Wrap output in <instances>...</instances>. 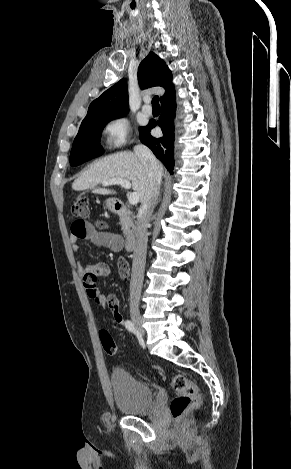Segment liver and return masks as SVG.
I'll use <instances>...</instances> for the list:
<instances>
[{
  "label": "liver",
  "instance_id": "obj_1",
  "mask_svg": "<svg viewBox=\"0 0 291 469\" xmlns=\"http://www.w3.org/2000/svg\"><path fill=\"white\" fill-rule=\"evenodd\" d=\"M159 164L161 176L163 166ZM111 179H126L139 194L140 202L149 188L148 174L141 160L132 152L124 151L106 156L92 164L72 184L74 190L92 189L97 194H115L114 190L98 188L100 183Z\"/></svg>",
  "mask_w": 291,
  "mask_h": 469
}]
</instances>
